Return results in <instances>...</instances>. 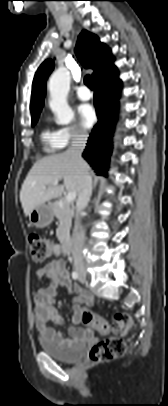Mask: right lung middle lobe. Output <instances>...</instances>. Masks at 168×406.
<instances>
[{
	"mask_svg": "<svg viewBox=\"0 0 168 406\" xmlns=\"http://www.w3.org/2000/svg\"><path fill=\"white\" fill-rule=\"evenodd\" d=\"M37 120L32 121V126L36 124Z\"/></svg>",
	"mask_w": 168,
	"mask_h": 406,
	"instance_id": "dd1d6c3e",
	"label": "right lung middle lobe"
}]
</instances>
